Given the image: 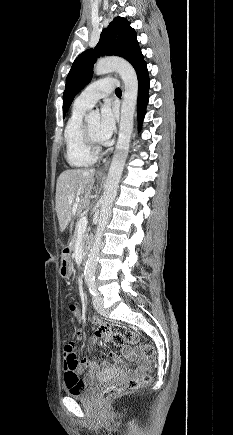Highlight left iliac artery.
<instances>
[{"label":"left iliac artery","instance_id":"obj_1","mask_svg":"<svg viewBox=\"0 0 233 435\" xmlns=\"http://www.w3.org/2000/svg\"><path fill=\"white\" fill-rule=\"evenodd\" d=\"M86 283L89 287L90 293L94 296L98 295L96 286H95V277H89L86 279Z\"/></svg>","mask_w":233,"mask_h":435}]
</instances>
